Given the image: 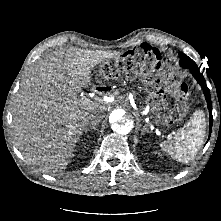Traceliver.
I'll list each match as a JSON object with an SVG mask.
<instances>
[{"instance_id":"liver-1","label":"liver","mask_w":221,"mask_h":221,"mask_svg":"<svg viewBox=\"0 0 221 221\" xmlns=\"http://www.w3.org/2000/svg\"><path fill=\"white\" fill-rule=\"evenodd\" d=\"M118 51L71 48L54 51L28 71L13 105V138L27 163L45 173L64 170L91 116H105L108 103L79 98L93 68Z\"/></svg>"}]
</instances>
